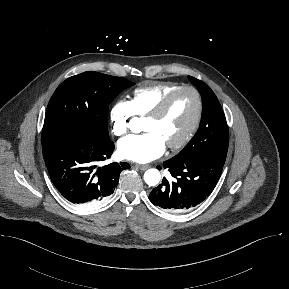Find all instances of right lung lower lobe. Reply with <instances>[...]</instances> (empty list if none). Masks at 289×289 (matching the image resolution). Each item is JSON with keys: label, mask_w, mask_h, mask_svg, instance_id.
Listing matches in <instances>:
<instances>
[{"label": "right lung lower lobe", "mask_w": 289, "mask_h": 289, "mask_svg": "<svg viewBox=\"0 0 289 289\" xmlns=\"http://www.w3.org/2000/svg\"><path fill=\"white\" fill-rule=\"evenodd\" d=\"M43 157L57 190L74 204L99 203L117 187L126 162L99 166L110 158L114 143H97L67 135L42 144Z\"/></svg>", "instance_id": "1"}]
</instances>
